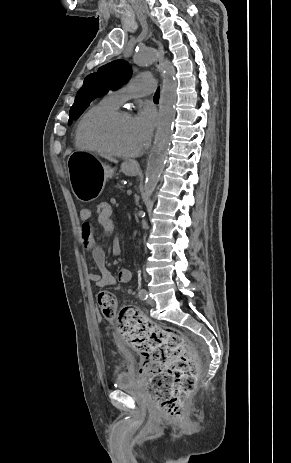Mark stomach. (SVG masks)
<instances>
[{
    "mask_svg": "<svg viewBox=\"0 0 291 463\" xmlns=\"http://www.w3.org/2000/svg\"><path fill=\"white\" fill-rule=\"evenodd\" d=\"M68 177L72 192L82 202L95 200L102 191L108 178L114 170L102 162L95 154L75 151L67 159ZM121 171L126 175L135 176L138 168L132 163H123Z\"/></svg>",
    "mask_w": 291,
    "mask_h": 463,
    "instance_id": "stomach-1",
    "label": "stomach"
}]
</instances>
